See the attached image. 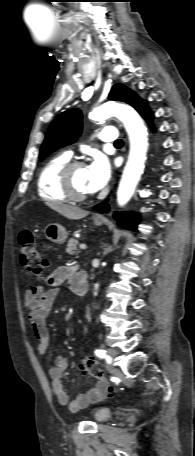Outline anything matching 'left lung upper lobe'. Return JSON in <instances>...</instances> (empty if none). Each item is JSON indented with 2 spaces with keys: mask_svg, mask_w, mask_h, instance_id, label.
<instances>
[{
  "mask_svg": "<svg viewBox=\"0 0 195 456\" xmlns=\"http://www.w3.org/2000/svg\"><path fill=\"white\" fill-rule=\"evenodd\" d=\"M109 99L130 104L135 109L143 102L127 87L116 84L113 86ZM82 131V115L79 109H69L58 115L51 123L46 138L40 149V160L53 151L74 143Z\"/></svg>",
  "mask_w": 195,
  "mask_h": 456,
  "instance_id": "1",
  "label": "left lung upper lobe"
}]
</instances>
